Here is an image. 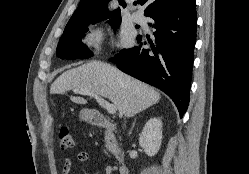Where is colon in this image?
Returning <instances> with one entry per match:
<instances>
[{"label":"colon","mask_w":249,"mask_h":174,"mask_svg":"<svg viewBox=\"0 0 249 174\" xmlns=\"http://www.w3.org/2000/svg\"><path fill=\"white\" fill-rule=\"evenodd\" d=\"M58 139L62 149H73L75 147L74 137L67 127L59 129Z\"/></svg>","instance_id":"colon-1"}]
</instances>
